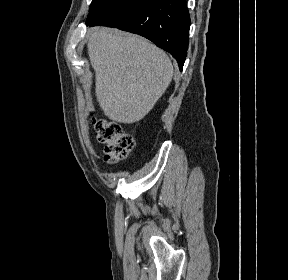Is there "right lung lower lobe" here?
I'll list each match as a JSON object with an SVG mask.
<instances>
[{"mask_svg":"<svg viewBox=\"0 0 288 280\" xmlns=\"http://www.w3.org/2000/svg\"><path fill=\"white\" fill-rule=\"evenodd\" d=\"M86 25L116 27L146 37L170 52L183 68L190 28L186 0H116Z\"/></svg>","mask_w":288,"mask_h":280,"instance_id":"right-lung-lower-lobe-1","label":"right lung lower lobe"}]
</instances>
